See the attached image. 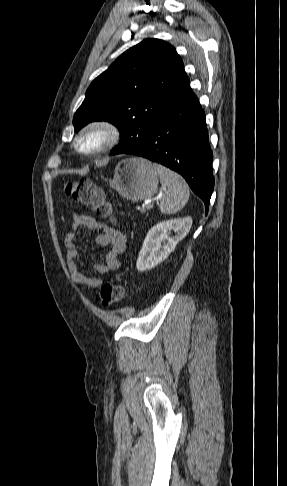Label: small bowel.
<instances>
[{"instance_id": "1", "label": "small bowel", "mask_w": 287, "mask_h": 486, "mask_svg": "<svg viewBox=\"0 0 287 486\" xmlns=\"http://www.w3.org/2000/svg\"><path fill=\"white\" fill-rule=\"evenodd\" d=\"M80 227L89 230H100L101 233L95 237V241L100 246L109 249L105 255L104 262L94 266L95 271L99 275H104L119 268V256L126 248V236L121 230L100 223L91 216L73 215V231L69 232L64 239V244L67 249V265L70 278L77 285L97 288L101 285L102 279L99 277H89L79 268L81 254L75 230Z\"/></svg>"}]
</instances>
